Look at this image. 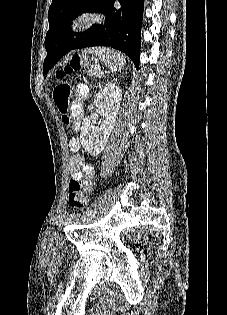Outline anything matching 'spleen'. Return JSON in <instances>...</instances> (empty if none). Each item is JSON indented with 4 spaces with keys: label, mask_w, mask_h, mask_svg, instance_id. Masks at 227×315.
<instances>
[{
    "label": "spleen",
    "mask_w": 227,
    "mask_h": 315,
    "mask_svg": "<svg viewBox=\"0 0 227 315\" xmlns=\"http://www.w3.org/2000/svg\"><path fill=\"white\" fill-rule=\"evenodd\" d=\"M96 55L102 59L112 71L120 70L125 64V58L119 52L112 49H98Z\"/></svg>",
    "instance_id": "spleen-1"
}]
</instances>
